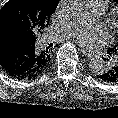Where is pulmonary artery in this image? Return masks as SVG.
I'll return each instance as SVG.
<instances>
[{"label":"pulmonary artery","instance_id":"obj_1","mask_svg":"<svg viewBox=\"0 0 118 118\" xmlns=\"http://www.w3.org/2000/svg\"><path fill=\"white\" fill-rule=\"evenodd\" d=\"M107 8L105 0H87L85 5V11L81 17V20H90L101 16ZM79 21L71 22L59 31L61 37H66L78 30Z\"/></svg>","mask_w":118,"mask_h":118}]
</instances>
